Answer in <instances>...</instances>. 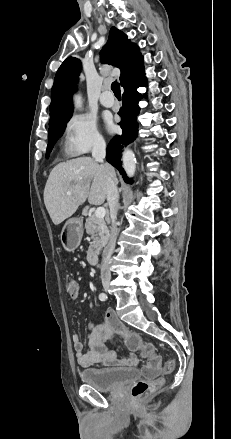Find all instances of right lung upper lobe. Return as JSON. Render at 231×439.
I'll return each instance as SVG.
<instances>
[{
    "label": "right lung upper lobe",
    "mask_w": 231,
    "mask_h": 439,
    "mask_svg": "<svg viewBox=\"0 0 231 439\" xmlns=\"http://www.w3.org/2000/svg\"><path fill=\"white\" fill-rule=\"evenodd\" d=\"M100 57L103 63L114 65L121 70L120 82L124 89L145 75L143 57L138 46L133 45L127 36L115 27L111 28L108 43L103 47ZM80 69V61L74 57L65 59L58 69L51 94L50 127L71 118L72 93L76 89Z\"/></svg>",
    "instance_id": "cb5924a9"
}]
</instances>
